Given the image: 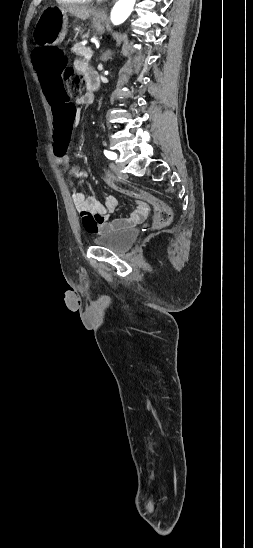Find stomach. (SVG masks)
<instances>
[{"mask_svg":"<svg viewBox=\"0 0 253 548\" xmlns=\"http://www.w3.org/2000/svg\"><path fill=\"white\" fill-rule=\"evenodd\" d=\"M67 14L59 8L45 10L40 16L36 30L35 40L40 45L58 44L65 38L67 31ZM92 25L96 33L104 32L102 19L95 16Z\"/></svg>","mask_w":253,"mask_h":548,"instance_id":"1","label":"stomach"}]
</instances>
